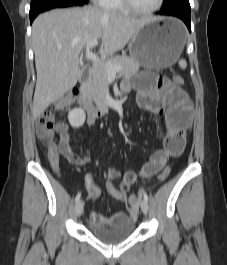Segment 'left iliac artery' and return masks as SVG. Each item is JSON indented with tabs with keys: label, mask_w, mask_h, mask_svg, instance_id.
<instances>
[{
	"label": "left iliac artery",
	"mask_w": 227,
	"mask_h": 265,
	"mask_svg": "<svg viewBox=\"0 0 227 265\" xmlns=\"http://www.w3.org/2000/svg\"><path fill=\"white\" fill-rule=\"evenodd\" d=\"M143 194V198L146 202H148V195L146 194V192L142 191Z\"/></svg>",
	"instance_id": "obj_1"
}]
</instances>
